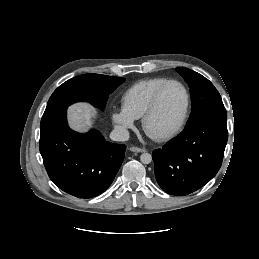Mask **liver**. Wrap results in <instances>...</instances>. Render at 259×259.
<instances>
[{
	"label": "liver",
	"instance_id": "liver-1",
	"mask_svg": "<svg viewBox=\"0 0 259 259\" xmlns=\"http://www.w3.org/2000/svg\"><path fill=\"white\" fill-rule=\"evenodd\" d=\"M97 111L87 103L74 104L68 109L69 124L78 132H86L92 126Z\"/></svg>",
	"mask_w": 259,
	"mask_h": 259
}]
</instances>
